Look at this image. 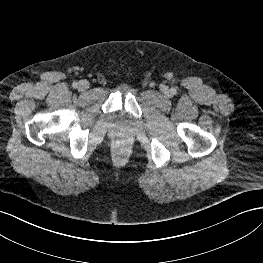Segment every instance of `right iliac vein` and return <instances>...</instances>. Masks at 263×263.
<instances>
[{
    "mask_svg": "<svg viewBox=\"0 0 263 263\" xmlns=\"http://www.w3.org/2000/svg\"><path fill=\"white\" fill-rule=\"evenodd\" d=\"M89 88V82L87 80H81L78 84V89L81 91H85Z\"/></svg>",
    "mask_w": 263,
    "mask_h": 263,
    "instance_id": "obj_1",
    "label": "right iliac vein"
}]
</instances>
